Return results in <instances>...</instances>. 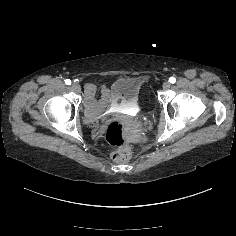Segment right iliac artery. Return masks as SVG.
Segmentation results:
<instances>
[{
	"label": "right iliac artery",
	"mask_w": 236,
	"mask_h": 236,
	"mask_svg": "<svg viewBox=\"0 0 236 236\" xmlns=\"http://www.w3.org/2000/svg\"><path fill=\"white\" fill-rule=\"evenodd\" d=\"M65 83H66L67 85H70V84H71V80H70V79H66V80H65Z\"/></svg>",
	"instance_id": "obj_1"
}]
</instances>
